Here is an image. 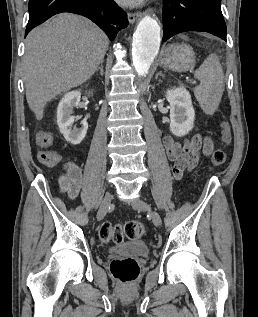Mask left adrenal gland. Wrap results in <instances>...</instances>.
<instances>
[{"label": "left adrenal gland", "mask_w": 258, "mask_h": 317, "mask_svg": "<svg viewBox=\"0 0 258 317\" xmlns=\"http://www.w3.org/2000/svg\"><path fill=\"white\" fill-rule=\"evenodd\" d=\"M158 76H164L162 70H159V72H157L155 78H158Z\"/></svg>", "instance_id": "obj_1"}]
</instances>
